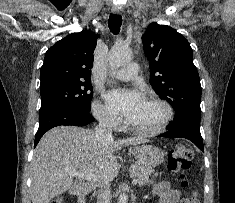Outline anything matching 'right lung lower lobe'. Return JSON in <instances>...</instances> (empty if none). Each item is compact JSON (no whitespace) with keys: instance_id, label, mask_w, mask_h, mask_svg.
I'll use <instances>...</instances> for the list:
<instances>
[{"instance_id":"98d812e1","label":"right lung lower lobe","mask_w":235,"mask_h":203,"mask_svg":"<svg viewBox=\"0 0 235 203\" xmlns=\"http://www.w3.org/2000/svg\"><path fill=\"white\" fill-rule=\"evenodd\" d=\"M93 121L94 118L89 111L70 107L55 109L39 115V128L36 133L34 147L38 144L43 134L55 126H85Z\"/></svg>"}]
</instances>
